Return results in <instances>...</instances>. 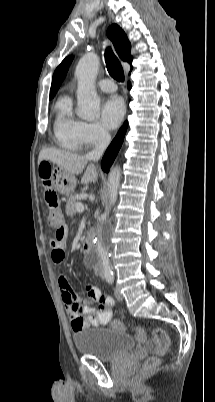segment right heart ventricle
<instances>
[{"mask_svg":"<svg viewBox=\"0 0 215 402\" xmlns=\"http://www.w3.org/2000/svg\"><path fill=\"white\" fill-rule=\"evenodd\" d=\"M80 120L72 110V100L69 96H61L55 104L53 132L55 142L61 148L77 150L81 146L78 137Z\"/></svg>","mask_w":215,"mask_h":402,"instance_id":"right-heart-ventricle-1","label":"right heart ventricle"}]
</instances>
